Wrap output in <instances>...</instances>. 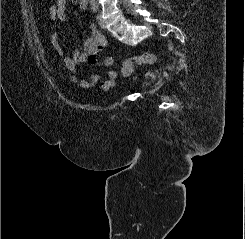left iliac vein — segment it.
<instances>
[{
	"label": "left iliac vein",
	"mask_w": 245,
	"mask_h": 239,
	"mask_svg": "<svg viewBox=\"0 0 245 239\" xmlns=\"http://www.w3.org/2000/svg\"><path fill=\"white\" fill-rule=\"evenodd\" d=\"M96 18H97V22H98L99 26L104 29L106 27V25H105V22L102 18L101 13H98Z\"/></svg>",
	"instance_id": "left-iliac-vein-1"
}]
</instances>
